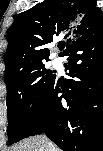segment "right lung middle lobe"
I'll use <instances>...</instances> for the list:
<instances>
[{"label":"right lung middle lobe","mask_w":103,"mask_h":151,"mask_svg":"<svg viewBox=\"0 0 103 151\" xmlns=\"http://www.w3.org/2000/svg\"><path fill=\"white\" fill-rule=\"evenodd\" d=\"M55 78L54 71L45 68L42 62L24 68L5 81L10 145L20 140Z\"/></svg>","instance_id":"obj_1"}]
</instances>
